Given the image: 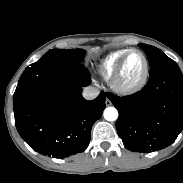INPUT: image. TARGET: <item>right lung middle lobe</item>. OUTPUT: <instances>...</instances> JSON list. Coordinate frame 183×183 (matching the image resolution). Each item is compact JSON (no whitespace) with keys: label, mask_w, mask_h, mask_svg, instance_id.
<instances>
[{"label":"right lung middle lobe","mask_w":183,"mask_h":183,"mask_svg":"<svg viewBox=\"0 0 183 183\" xmlns=\"http://www.w3.org/2000/svg\"><path fill=\"white\" fill-rule=\"evenodd\" d=\"M85 53L83 49H53L44 54L37 62L28 66L24 72L42 71L58 66L80 63Z\"/></svg>","instance_id":"1"}]
</instances>
